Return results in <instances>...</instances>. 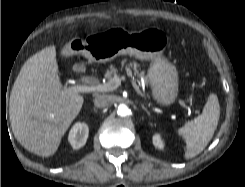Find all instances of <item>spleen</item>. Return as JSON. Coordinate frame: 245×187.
<instances>
[{
  "instance_id": "obj_1",
  "label": "spleen",
  "mask_w": 245,
  "mask_h": 187,
  "mask_svg": "<svg viewBox=\"0 0 245 187\" xmlns=\"http://www.w3.org/2000/svg\"><path fill=\"white\" fill-rule=\"evenodd\" d=\"M220 106L217 95L212 93L203 108V112L194 120L188 121L177 130L186 143L185 159H191L201 153L217 128Z\"/></svg>"
}]
</instances>
